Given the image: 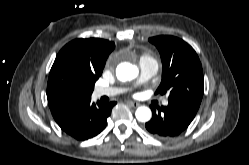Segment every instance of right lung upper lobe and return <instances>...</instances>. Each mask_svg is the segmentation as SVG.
<instances>
[{
    "label": "right lung upper lobe",
    "mask_w": 249,
    "mask_h": 165,
    "mask_svg": "<svg viewBox=\"0 0 249 165\" xmlns=\"http://www.w3.org/2000/svg\"><path fill=\"white\" fill-rule=\"evenodd\" d=\"M114 47V42L99 38L75 39L66 44L49 74L47 99L50 110L91 98L94 83L101 76Z\"/></svg>",
    "instance_id": "obj_1"
}]
</instances>
